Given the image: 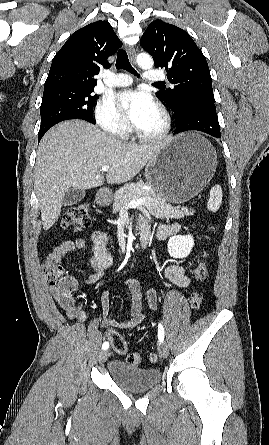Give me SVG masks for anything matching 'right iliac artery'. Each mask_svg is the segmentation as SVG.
Returning <instances> with one entry per match:
<instances>
[{"instance_id": "82829eb1", "label": "right iliac artery", "mask_w": 269, "mask_h": 445, "mask_svg": "<svg viewBox=\"0 0 269 445\" xmlns=\"http://www.w3.org/2000/svg\"><path fill=\"white\" fill-rule=\"evenodd\" d=\"M108 347H109V343L108 342H104L103 345H102V349L106 350V349H108Z\"/></svg>"}]
</instances>
